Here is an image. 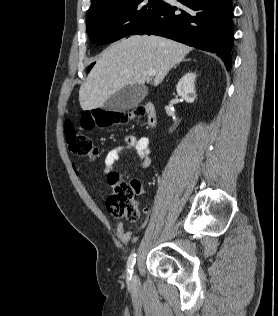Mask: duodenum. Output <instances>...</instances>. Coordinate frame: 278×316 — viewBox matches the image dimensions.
<instances>
[{"label": "duodenum", "instance_id": "1", "mask_svg": "<svg viewBox=\"0 0 278 316\" xmlns=\"http://www.w3.org/2000/svg\"><path fill=\"white\" fill-rule=\"evenodd\" d=\"M145 112L148 126L151 128L155 127L157 124V114L154 105L152 103H146Z\"/></svg>", "mask_w": 278, "mask_h": 316}]
</instances>
